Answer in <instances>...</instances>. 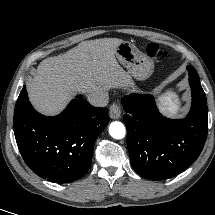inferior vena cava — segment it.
I'll use <instances>...</instances> for the list:
<instances>
[{"label":"inferior vena cava","mask_w":215,"mask_h":215,"mask_svg":"<svg viewBox=\"0 0 215 215\" xmlns=\"http://www.w3.org/2000/svg\"><path fill=\"white\" fill-rule=\"evenodd\" d=\"M88 102L96 107H105L108 104L109 97L106 91H95L87 95Z\"/></svg>","instance_id":"inferior-vena-cava-1"}]
</instances>
